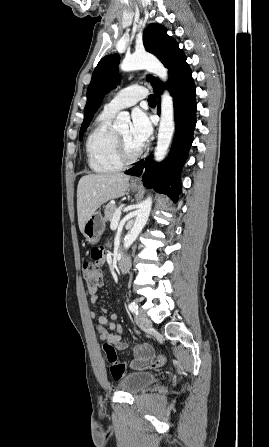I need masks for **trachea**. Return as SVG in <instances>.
I'll return each instance as SVG.
<instances>
[{
    "label": "trachea",
    "instance_id": "trachea-1",
    "mask_svg": "<svg viewBox=\"0 0 269 447\" xmlns=\"http://www.w3.org/2000/svg\"><path fill=\"white\" fill-rule=\"evenodd\" d=\"M156 102H157V99H156L155 95H150V96L148 97V103H149V105H156Z\"/></svg>",
    "mask_w": 269,
    "mask_h": 447
}]
</instances>
